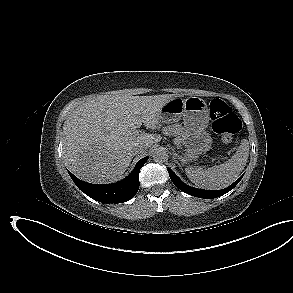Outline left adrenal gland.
<instances>
[{"label":"left adrenal gland","mask_w":293,"mask_h":293,"mask_svg":"<svg viewBox=\"0 0 293 293\" xmlns=\"http://www.w3.org/2000/svg\"><path fill=\"white\" fill-rule=\"evenodd\" d=\"M173 159H174V161L180 166V164L178 163V161L177 160H175L176 158L175 157H173Z\"/></svg>","instance_id":"left-adrenal-gland-1"}]
</instances>
